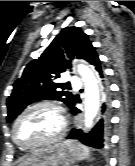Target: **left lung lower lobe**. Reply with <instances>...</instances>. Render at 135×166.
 <instances>
[{
    "label": "left lung lower lobe",
    "mask_w": 135,
    "mask_h": 166,
    "mask_svg": "<svg viewBox=\"0 0 135 166\" xmlns=\"http://www.w3.org/2000/svg\"><path fill=\"white\" fill-rule=\"evenodd\" d=\"M91 64L95 66V69L98 71L102 82L101 119L98 121V123L89 133L84 134L80 129H72L71 133L68 135L67 138L78 139L87 146L103 149L107 144L108 130L110 126L111 105H110L109 87L103 75L98 55L93 58ZM76 103L77 100L74 99L73 104L70 107L74 115L80 112L75 107Z\"/></svg>",
    "instance_id": "obj_1"
}]
</instances>
